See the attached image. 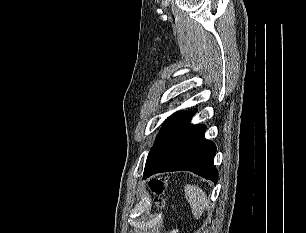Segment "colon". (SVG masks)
Here are the masks:
<instances>
[{"mask_svg":"<svg viewBox=\"0 0 306 233\" xmlns=\"http://www.w3.org/2000/svg\"><path fill=\"white\" fill-rule=\"evenodd\" d=\"M148 187L150 191L154 194V203L159 206L163 207V199L162 194L165 189V180L163 178H155L149 181Z\"/></svg>","mask_w":306,"mask_h":233,"instance_id":"obj_1","label":"colon"}]
</instances>
